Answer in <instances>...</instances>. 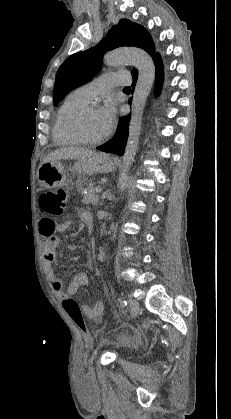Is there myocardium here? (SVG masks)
<instances>
[{
    "instance_id": "myocardium-1",
    "label": "myocardium",
    "mask_w": 231,
    "mask_h": 419,
    "mask_svg": "<svg viewBox=\"0 0 231 419\" xmlns=\"http://www.w3.org/2000/svg\"><path fill=\"white\" fill-rule=\"evenodd\" d=\"M95 105L92 103H88L83 105L73 112H71L66 120H65V130L66 132L76 141L88 144V145H95L101 143L109 136V131L106 132L104 135L96 138H89L85 136L79 128V121L80 119L90 110L94 109Z\"/></svg>"
}]
</instances>
